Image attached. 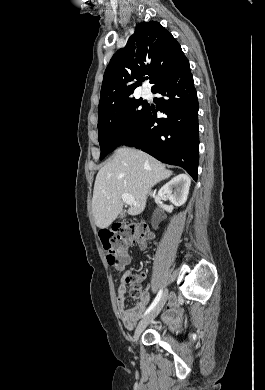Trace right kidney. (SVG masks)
<instances>
[{
    "mask_svg": "<svg viewBox=\"0 0 265 390\" xmlns=\"http://www.w3.org/2000/svg\"><path fill=\"white\" fill-rule=\"evenodd\" d=\"M190 184L191 180L187 175L179 174L159 190L158 196H166L172 204L181 206L187 200Z\"/></svg>",
    "mask_w": 265,
    "mask_h": 390,
    "instance_id": "right-kidney-1",
    "label": "right kidney"
}]
</instances>
